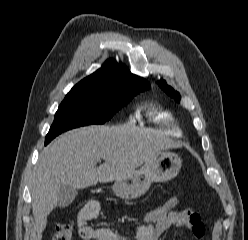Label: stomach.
<instances>
[{"label": "stomach", "instance_id": "stomach-1", "mask_svg": "<svg viewBox=\"0 0 248 240\" xmlns=\"http://www.w3.org/2000/svg\"><path fill=\"white\" fill-rule=\"evenodd\" d=\"M181 166L182 160L177 154L160 152L141 169L115 180L112 190L121 199H137L149 190L152 182H166L176 177Z\"/></svg>", "mask_w": 248, "mask_h": 240}]
</instances>
